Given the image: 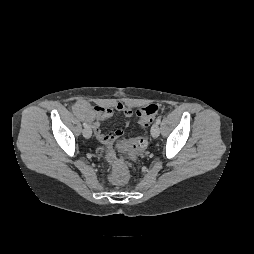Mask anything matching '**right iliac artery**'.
I'll use <instances>...</instances> for the list:
<instances>
[{
	"mask_svg": "<svg viewBox=\"0 0 254 254\" xmlns=\"http://www.w3.org/2000/svg\"><path fill=\"white\" fill-rule=\"evenodd\" d=\"M83 126H84V127H87V123H86V122H84V123H83Z\"/></svg>",
	"mask_w": 254,
	"mask_h": 254,
	"instance_id": "right-iliac-artery-1",
	"label": "right iliac artery"
}]
</instances>
